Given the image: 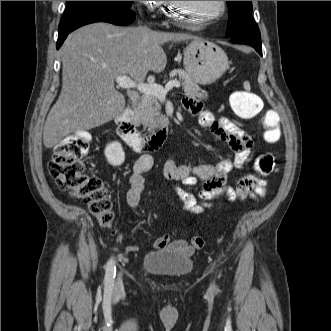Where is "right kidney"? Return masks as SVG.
Here are the masks:
<instances>
[{
    "instance_id": "ca27d5eb",
    "label": "right kidney",
    "mask_w": 331,
    "mask_h": 331,
    "mask_svg": "<svg viewBox=\"0 0 331 331\" xmlns=\"http://www.w3.org/2000/svg\"><path fill=\"white\" fill-rule=\"evenodd\" d=\"M105 156L109 164L113 166L121 165L125 160V153L119 142H112L105 148Z\"/></svg>"
}]
</instances>
